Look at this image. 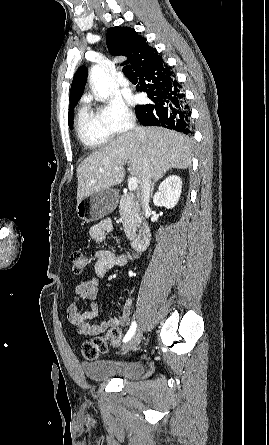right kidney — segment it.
Listing matches in <instances>:
<instances>
[{
	"instance_id": "right-kidney-1",
	"label": "right kidney",
	"mask_w": 269,
	"mask_h": 445,
	"mask_svg": "<svg viewBox=\"0 0 269 445\" xmlns=\"http://www.w3.org/2000/svg\"><path fill=\"white\" fill-rule=\"evenodd\" d=\"M182 189V180L177 175L168 176L158 187L153 197L155 206L172 209L178 203Z\"/></svg>"
}]
</instances>
